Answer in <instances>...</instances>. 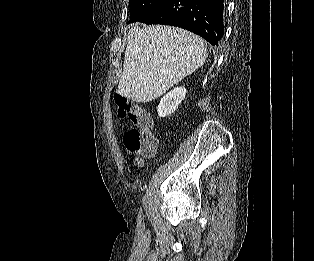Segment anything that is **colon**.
Returning <instances> with one entry per match:
<instances>
[{
	"label": "colon",
	"instance_id": "colon-1",
	"mask_svg": "<svg viewBox=\"0 0 314 261\" xmlns=\"http://www.w3.org/2000/svg\"><path fill=\"white\" fill-rule=\"evenodd\" d=\"M117 113L121 119H128L133 127L123 136L127 152L138 156H150L154 153L157 137L153 131L150 113L123 95L115 96Z\"/></svg>",
	"mask_w": 314,
	"mask_h": 261
}]
</instances>
